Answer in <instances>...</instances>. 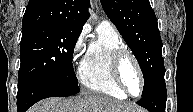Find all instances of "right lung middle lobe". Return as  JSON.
I'll list each match as a JSON object with an SVG mask.
<instances>
[{"instance_id":"1","label":"right lung middle lobe","mask_w":193,"mask_h":112,"mask_svg":"<svg viewBox=\"0 0 193 112\" xmlns=\"http://www.w3.org/2000/svg\"><path fill=\"white\" fill-rule=\"evenodd\" d=\"M81 31L78 28L59 26L23 30L18 91L43 87L56 94H77L80 88L72 57Z\"/></svg>"}]
</instances>
